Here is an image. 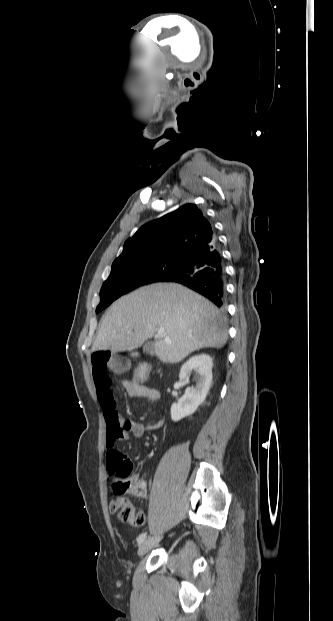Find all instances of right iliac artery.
<instances>
[{
  "label": "right iliac artery",
  "mask_w": 333,
  "mask_h": 621,
  "mask_svg": "<svg viewBox=\"0 0 333 621\" xmlns=\"http://www.w3.org/2000/svg\"><path fill=\"white\" fill-rule=\"evenodd\" d=\"M146 537H147V533H145V532H144V533H141V534L138 536V538H137V542H138V544H141V543H142V542L146 539Z\"/></svg>",
  "instance_id": "1"
}]
</instances>
